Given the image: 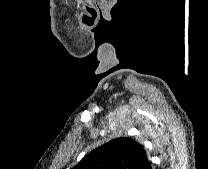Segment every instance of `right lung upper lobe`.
<instances>
[{
  "label": "right lung upper lobe",
  "instance_id": "cb5924a9",
  "mask_svg": "<svg viewBox=\"0 0 208 169\" xmlns=\"http://www.w3.org/2000/svg\"><path fill=\"white\" fill-rule=\"evenodd\" d=\"M72 169H151V165L141 144L120 137L95 148Z\"/></svg>",
  "mask_w": 208,
  "mask_h": 169
}]
</instances>
